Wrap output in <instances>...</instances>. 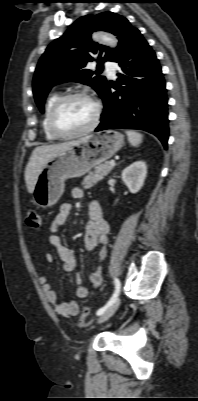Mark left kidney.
Listing matches in <instances>:
<instances>
[{"instance_id": "obj_1", "label": "left kidney", "mask_w": 198, "mask_h": 401, "mask_svg": "<svg viewBox=\"0 0 198 401\" xmlns=\"http://www.w3.org/2000/svg\"><path fill=\"white\" fill-rule=\"evenodd\" d=\"M147 175V167L144 161H136L122 172V180L131 193H137L143 186Z\"/></svg>"}]
</instances>
